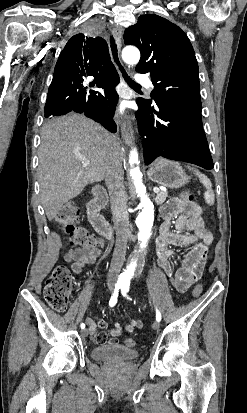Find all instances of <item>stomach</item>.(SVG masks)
Here are the masks:
<instances>
[{
	"label": "stomach",
	"mask_w": 247,
	"mask_h": 413,
	"mask_svg": "<svg viewBox=\"0 0 247 413\" xmlns=\"http://www.w3.org/2000/svg\"><path fill=\"white\" fill-rule=\"evenodd\" d=\"M147 174L154 182L169 186V188H180V186L190 182V176L186 174L179 162H173V160H167V158H158L148 168Z\"/></svg>",
	"instance_id": "stomach-1"
}]
</instances>
